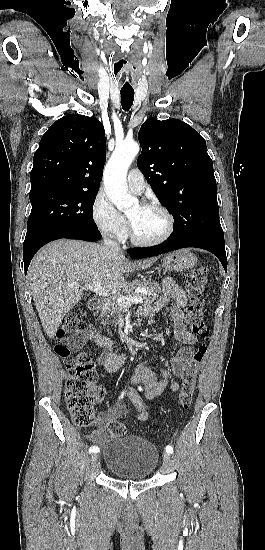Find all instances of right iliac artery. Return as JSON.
Masks as SVG:
<instances>
[{"label": "right iliac artery", "mask_w": 265, "mask_h": 550, "mask_svg": "<svg viewBox=\"0 0 265 550\" xmlns=\"http://www.w3.org/2000/svg\"><path fill=\"white\" fill-rule=\"evenodd\" d=\"M124 394H125V392H122L119 399L123 398ZM96 452H99V448L97 446H92V447L89 448V453H96Z\"/></svg>", "instance_id": "obj_1"}]
</instances>
